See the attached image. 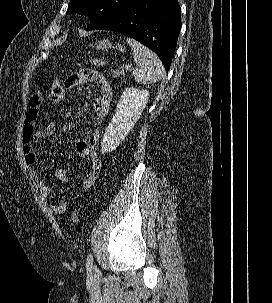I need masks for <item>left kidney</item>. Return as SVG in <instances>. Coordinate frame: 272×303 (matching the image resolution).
<instances>
[{"label": "left kidney", "mask_w": 272, "mask_h": 303, "mask_svg": "<svg viewBox=\"0 0 272 303\" xmlns=\"http://www.w3.org/2000/svg\"><path fill=\"white\" fill-rule=\"evenodd\" d=\"M149 91L127 87L118 102L115 114L105 130L101 143L103 154L115 150L134 127L146 104Z\"/></svg>", "instance_id": "1"}]
</instances>
